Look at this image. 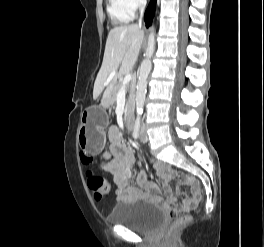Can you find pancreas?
I'll use <instances>...</instances> for the list:
<instances>
[{
  "label": "pancreas",
  "instance_id": "pancreas-1",
  "mask_svg": "<svg viewBox=\"0 0 264 247\" xmlns=\"http://www.w3.org/2000/svg\"><path fill=\"white\" fill-rule=\"evenodd\" d=\"M120 88H121V85H117L116 87H114L112 89V96L108 97L106 99V101L104 102V106H111L114 104V102L116 100L117 93H118ZM133 99H134L133 92L130 91L128 96H127L126 111H129V109L131 108V105L133 103Z\"/></svg>",
  "mask_w": 264,
  "mask_h": 247
}]
</instances>
